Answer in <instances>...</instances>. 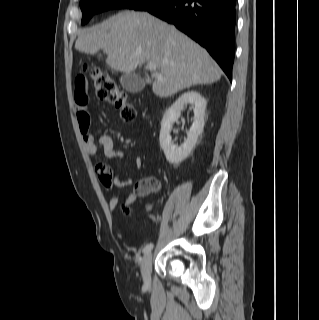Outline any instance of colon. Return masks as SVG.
<instances>
[{
    "label": "colon",
    "mask_w": 319,
    "mask_h": 320,
    "mask_svg": "<svg viewBox=\"0 0 319 320\" xmlns=\"http://www.w3.org/2000/svg\"><path fill=\"white\" fill-rule=\"evenodd\" d=\"M90 73L98 97L116 106L120 110L121 118L124 121H133L136 118V110L131 103L127 102L126 95L119 90L113 77L102 69H91ZM75 82L77 86H80L85 84L86 80L84 76H78ZM96 170L97 173L102 174L100 180L103 181L104 172L109 173V166L99 164L96 166ZM155 188L156 184L151 180H143L137 185L139 193H147Z\"/></svg>",
    "instance_id": "colon-1"
}]
</instances>
